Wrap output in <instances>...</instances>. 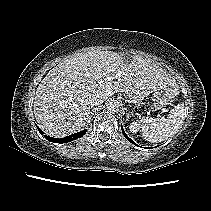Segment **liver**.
I'll list each match as a JSON object with an SVG mask.
<instances>
[{
	"mask_svg": "<svg viewBox=\"0 0 211 211\" xmlns=\"http://www.w3.org/2000/svg\"><path fill=\"white\" fill-rule=\"evenodd\" d=\"M120 74L118 79L108 77ZM173 78L150 59L94 50L77 54L51 69L37 87L34 115L41 128L53 137L82 130L90 114L93 95L104 99L132 89L151 93Z\"/></svg>",
	"mask_w": 211,
	"mask_h": 211,
	"instance_id": "obj_1",
	"label": "liver"
}]
</instances>
